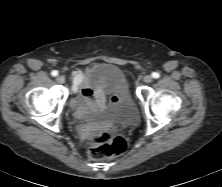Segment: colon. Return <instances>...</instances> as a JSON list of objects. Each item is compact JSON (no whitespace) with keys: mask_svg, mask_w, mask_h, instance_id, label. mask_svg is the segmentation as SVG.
<instances>
[{"mask_svg":"<svg viewBox=\"0 0 222 187\" xmlns=\"http://www.w3.org/2000/svg\"><path fill=\"white\" fill-rule=\"evenodd\" d=\"M89 145L87 154L92 160H104L124 153L127 149L126 139L119 134L93 132L87 137Z\"/></svg>","mask_w":222,"mask_h":187,"instance_id":"5ec220e1","label":"colon"}]
</instances>
